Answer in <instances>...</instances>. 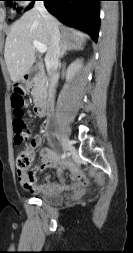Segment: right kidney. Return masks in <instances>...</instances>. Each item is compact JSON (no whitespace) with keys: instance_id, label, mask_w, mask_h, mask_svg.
<instances>
[{"instance_id":"obj_1","label":"right kidney","mask_w":133,"mask_h":253,"mask_svg":"<svg viewBox=\"0 0 133 253\" xmlns=\"http://www.w3.org/2000/svg\"><path fill=\"white\" fill-rule=\"evenodd\" d=\"M80 66L79 61H76L73 63L67 70V79H71L72 76L74 75L76 69Z\"/></svg>"}]
</instances>
